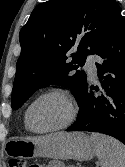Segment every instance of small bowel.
<instances>
[{"mask_svg":"<svg viewBox=\"0 0 125 167\" xmlns=\"http://www.w3.org/2000/svg\"><path fill=\"white\" fill-rule=\"evenodd\" d=\"M40 167H58L56 162H50L46 165H40Z\"/></svg>","mask_w":125,"mask_h":167,"instance_id":"small-bowel-1","label":"small bowel"}]
</instances>
